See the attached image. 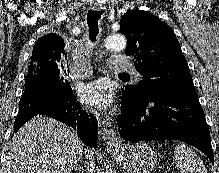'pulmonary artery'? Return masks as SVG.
<instances>
[{"mask_svg":"<svg viewBox=\"0 0 219 173\" xmlns=\"http://www.w3.org/2000/svg\"><path fill=\"white\" fill-rule=\"evenodd\" d=\"M81 67H74L72 69L73 76L75 78L81 79L88 77L92 70L87 61H83ZM109 68L113 71H126L134 74L136 78H139L141 75L134 70L132 62L128 58L124 57H110L108 59Z\"/></svg>","mask_w":219,"mask_h":173,"instance_id":"1","label":"pulmonary artery"}]
</instances>
